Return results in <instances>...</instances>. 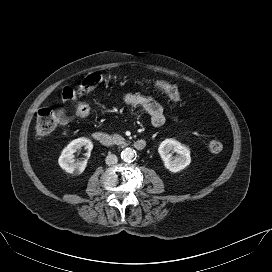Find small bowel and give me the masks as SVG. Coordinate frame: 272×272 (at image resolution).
<instances>
[{
	"instance_id": "small-bowel-1",
	"label": "small bowel",
	"mask_w": 272,
	"mask_h": 272,
	"mask_svg": "<svg viewBox=\"0 0 272 272\" xmlns=\"http://www.w3.org/2000/svg\"><path fill=\"white\" fill-rule=\"evenodd\" d=\"M125 104L140 107L151 119L154 127L159 128L164 125L166 118L162 106L154 99L139 93H127L123 96Z\"/></svg>"
}]
</instances>
